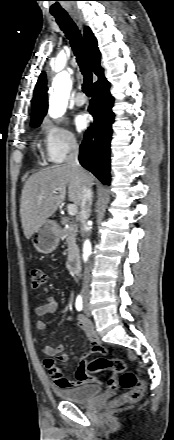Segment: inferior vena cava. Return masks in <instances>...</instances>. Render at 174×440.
Wrapping results in <instances>:
<instances>
[{
  "label": "inferior vena cava",
  "mask_w": 174,
  "mask_h": 440,
  "mask_svg": "<svg viewBox=\"0 0 174 440\" xmlns=\"http://www.w3.org/2000/svg\"><path fill=\"white\" fill-rule=\"evenodd\" d=\"M79 148L75 141V139H71L69 143V153L66 158V164L73 167L75 170H78L81 174L82 179V196L80 202V230L81 236L85 238L87 236V232L89 230L88 227V218L91 213V204H92V190L90 186L86 183V174L84 169L80 166L78 161ZM89 277H90V265L85 268L83 274V294L88 295L89 293Z\"/></svg>",
  "instance_id": "inferior-vena-cava-1"
}]
</instances>
